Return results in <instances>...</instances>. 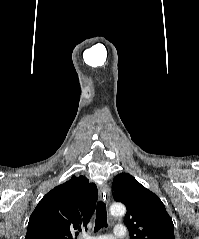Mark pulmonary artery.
Instances as JSON below:
<instances>
[{
	"mask_svg": "<svg viewBox=\"0 0 199 239\" xmlns=\"http://www.w3.org/2000/svg\"><path fill=\"white\" fill-rule=\"evenodd\" d=\"M126 230L124 225L117 224L114 227V235H102L97 237H88L87 239H125Z\"/></svg>",
	"mask_w": 199,
	"mask_h": 239,
	"instance_id": "obj_1",
	"label": "pulmonary artery"
}]
</instances>
